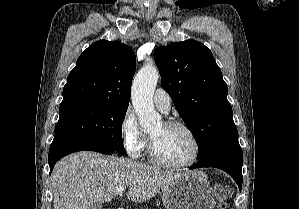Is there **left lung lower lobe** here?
Wrapping results in <instances>:
<instances>
[{
  "instance_id": "obj_1",
  "label": "left lung lower lobe",
  "mask_w": 299,
  "mask_h": 209,
  "mask_svg": "<svg viewBox=\"0 0 299 209\" xmlns=\"http://www.w3.org/2000/svg\"><path fill=\"white\" fill-rule=\"evenodd\" d=\"M243 155L238 142V132L233 131L220 138L190 169L215 167L232 176L241 191Z\"/></svg>"
}]
</instances>
